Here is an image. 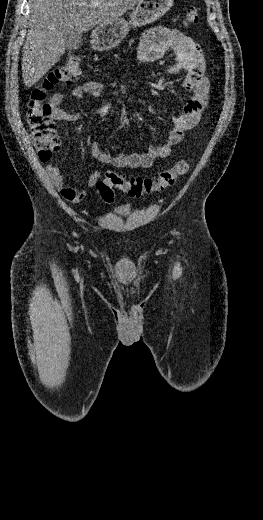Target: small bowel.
I'll return each instance as SVG.
<instances>
[{
	"label": "small bowel",
	"instance_id": "1",
	"mask_svg": "<svg viewBox=\"0 0 263 520\" xmlns=\"http://www.w3.org/2000/svg\"><path fill=\"white\" fill-rule=\"evenodd\" d=\"M168 53L175 54L176 62L168 68V73L175 75L180 71L186 72L183 87L191 94L182 112L173 118V129L167 140L158 145H150L141 153L110 155L97 142L90 144L92 157L102 164H109L116 168H150L154 161L170 155L172 148L180 143L185 133L194 128L200 121L201 114L209 100L210 82L205 76V64L200 47L188 36L177 29L155 27L147 30L137 48L138 62H154L162 59ZM104 85L89 80L74 87L70 94L80 100L86 95L99 96L104 92ZM65 95L54 94L49 105L52 116L58 121L77 122L81 119L79 113L68 112L63 108ZM47 172L53 185L62 197L69 202L79 203L85 197V191L66 185L60 168L53 162L46 165ZM100 173H93L88 179V186L93 187L100 180Z\"/></svg>",
	"mask_w": 263,
	"mask_h": 520
}]
</instances>
